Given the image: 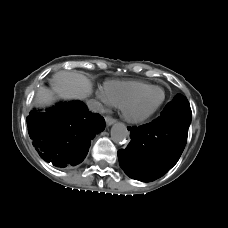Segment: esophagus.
I'll list each match as a JSON object with an SVG mask.
<instances>
[{
    "instance_id": "34e87169",
    "label": "esophagus",
    "mask_w": 228,
    "mask_h": 228,
    "mask_svg": "<svg viewBox=\"0 0 228 228\" xmlns=\"http://www.w3.org/2000/svg\"><path fill=\"white\" fill-rule=\"evenodd\" d=\"M105 121H106V125L107 126H111V125H113L116 122V119H114V118H112L110 116H107L105 118Z\"/></svg>"
}]
</instances>
